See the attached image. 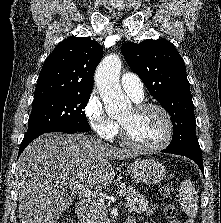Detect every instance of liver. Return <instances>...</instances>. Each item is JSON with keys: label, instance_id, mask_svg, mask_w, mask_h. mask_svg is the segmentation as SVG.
Returning <instances> with one entry per match:
<instances>
[{"label": "liver", "instance_id": "obj_1", "mask_svg": "<svg viewBox=\"0 0 221 223\" xmlns=\"http://www.w3.org/2000/svg\"><path fill=\"white\" fill-rule=\"evenodd\" d=\"M135 155L133 150L116 148L87 134L48 133L38 137L17 162L19 222L56 223L72 205L65 185L101 191L115 177L110 161Z\"/></svg>", "mask_w": 221, "mask_h": 223}]
</instances>
